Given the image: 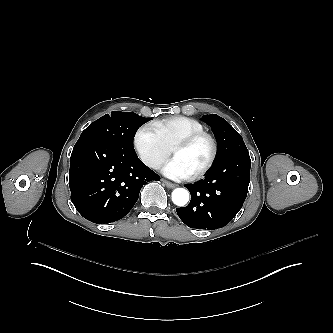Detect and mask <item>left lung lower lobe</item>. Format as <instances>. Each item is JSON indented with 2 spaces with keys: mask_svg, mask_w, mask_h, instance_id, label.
<instances>
[{
  "mask_svg": "<svg viewBox=\"0 0 333 333\" xmlns=\"http://www.w3.org/2000/svg\"><path fill=\"white\" fill-rule=\"evenodd\" d=\"M251 160L248 151L231 155L214 164L211 171L194 184L185 185L190 203L176 208L179 218L196 229H218L242 208L250 182Z\"/></svg>",
  "mask_w": 333,
  "mask_h": 333,
  "instance_id": "1",
  "label": "left lung lower lobe"
}]
</instances>
